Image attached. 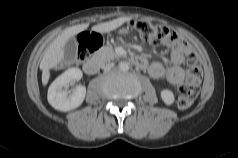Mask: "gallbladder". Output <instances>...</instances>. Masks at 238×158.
<instances>
[{
    "instance_id": "1",
    "label": "gallbladder",
    "mask_w": 238,
    "mask_h": 158,
    "mask_svg": "<svg viewBox=\"0 0 238 158\" xmlns=\"http://www.w3.org/2000/svg\"><path fill=\"white\" fill-rule=\"evenodd\" d=\"M77 41L75 38L71 37L64 45V61L67 64H73L77 58Z\"/></svg>"
}]
</instances>
